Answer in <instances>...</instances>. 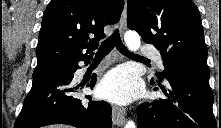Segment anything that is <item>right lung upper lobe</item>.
I'll list each match as a JSON object with an SVG mask.
<instances>
[{
  "label": "right lung upper lobe",
  "mask_w": 221,
  "mask_h": 128,
  "mask_svg": "<svg viewBox=\"0 0 221 128\" xmlns=\"http://www.w3.org/2000/svg\"><path fill=\"white\" fill-rule=\"evenodd\" d=\"M123 7V0H52L42 19L33 78L89 61L104 27L119 21Z\"/></svg>",
  "instance_id": "obj_1"
}]
</instances>
